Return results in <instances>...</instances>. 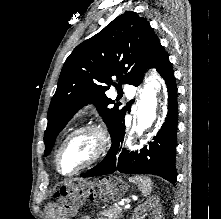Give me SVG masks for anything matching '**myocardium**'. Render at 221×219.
I'll use <instances>...</instances> for the list:
<instances>
[{
	"mask_svg": "<svg viewBox=\"0 0 221 219\" xmlns=\"http://www.w3.org/2000/svg\"><path fill=\"white\" fill-rule=\"evenodd\" d=\"M84 133H92L96 137L97 146H96V150L93 156L85 165L80 167L78 170L72 173H63L59 168V158H60V154L62 150L73 138ZM109 144H110V136H109L108 130L102 124H99V123L86 124L80 128H77L73 132H71L60 144L55 154V160H54L55 168L57 172L62 176H65V177L76 176L80 174L81 172L89 169L93 165H95L107 152Z\"/></svg>",
	"mask_w": 221,
	"mask_h": 219,
	"instance_id": "f54148a6",
	"label": "myocardium"
}]
</instances>
